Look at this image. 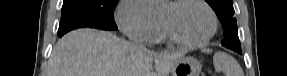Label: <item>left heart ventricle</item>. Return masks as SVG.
I'll use <instances>...</instances> for the list:
<instances>
[{
	"label": "left heart ventricle",
	"instance_id": "1",
	"mask_svg": "<svg viewBox=\"0 0 287 76\" xmlns=\"http://www.w3.org/2000/svg\"><path fill=\"white\" fill-rule=\"evenodd\" d=\"M182 39L195 41L209 31L211 19L204 7L196 3H186L178 7L168 4L160 16Z\"/></svg>",
	"mask_w": 287,
	"mask_h": 76
}]
</instances>
